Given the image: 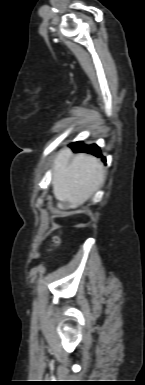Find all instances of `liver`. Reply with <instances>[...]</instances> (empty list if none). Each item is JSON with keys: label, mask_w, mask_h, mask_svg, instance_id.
Instances as JSON below:
<instances>
[{"label": "liver", "mask_w": 145, "mask_h": 385, "mask_svg": "<svg viewBox=\"0 0 145 385\" xmlns=\"http://www.w3.org/2000/svg\"><path fill=\"white\" fill-rule=\"evenodd\" d=\"M71 155V150L64 148L54 160L52 186L60 209H75L85 203L105 178L98 158L81 153L70 161Z\"/></svg>", "instance_id": "liver-1"}]
</instances>
